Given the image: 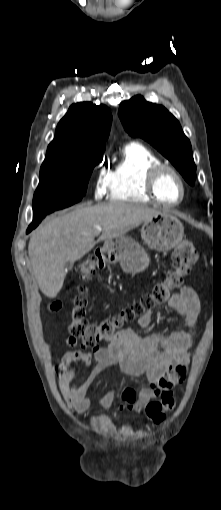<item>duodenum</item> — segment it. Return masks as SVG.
<instances>
[{
  "label": "duodenum",
  "instance_id": "duodenum-1",
  "mask_svg": "<svg viewBox=\"0 0 221 510\" xmlns=\"http://www.w3.org/2000/svg\"><path fill=\"white\" fill-rule=\"evenodd\" d=\"M96 254H97V257H98V266H99V268H103V266H104L103 251L102 250H98L96 252Z\"/></svg>",
  "mask_w": 221,
  "mask_h": 510
}]
</instances>
